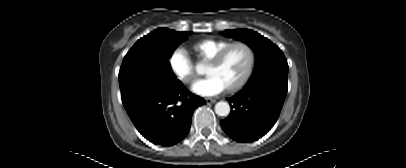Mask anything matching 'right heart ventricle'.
Instances as JSON below:
<instances>
[{"label":"right heart ventricle","mask_w":406,"mask_h":168,"mask_svg":"<svg viewBox=\"0 0 406 168\" xmlns=\"http://www.w3.org/2000/svg\"><path fill=\"white\" fill-rule=\"evenodd\" d=\"M229 43L227 39L206 38L193 43L191 49L201 61L207 62Z\"/></svg>","instance_id":"e07e8e85"}]
</instances>
